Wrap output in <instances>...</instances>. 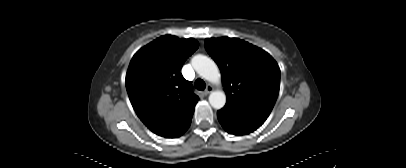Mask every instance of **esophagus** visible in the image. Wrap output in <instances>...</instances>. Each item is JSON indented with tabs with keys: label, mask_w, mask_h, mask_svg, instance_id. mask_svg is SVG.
<instances>
[{
	"label": "esophagus",
	"mask_w": 406,
	"mask_h": 168,
	"mask_svg": "<svg viewBox=\"0 0 406 168\" xmlns=\"http://www.w3.org/2000/svg\"><path fill=\"white\" fill-rule=\"evenodd\" d=\"M213 91V87L211 85H207L206 89L204 90V94L207 95Z\"/></svg>",
	"instance_id": "1"
}]
</instances>
